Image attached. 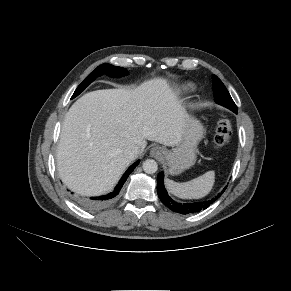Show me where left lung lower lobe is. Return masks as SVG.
<instances>
[{"label":"left lung lower lobe","mask_w":291,"mask_h":291,"mask_svg":"<svg viewBox=\"0 0 291 291\" xmlns=\"http://www.w3.org/2000/svg\"><path fill=\"white\" fill-rule=\"evenodd\" d=\"M237 113V111L235 112ZM164 173L160 172L158 174L157 179V193L164 205H166L169 209H171L174 212L180 213V214H193L198 213L206 208H208L213 202H215L221 194L225 191L226 187L223 189L221 193H219L217 196L205 200V201H199V202H193V203H181L173 200L167 193L164 184Z\"/></svg>","instance_id":"left-lung-lower-lobe-1"}]
</instances>
